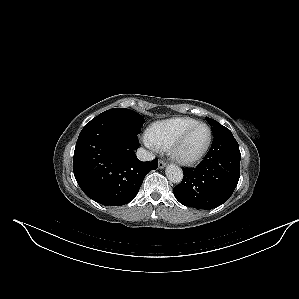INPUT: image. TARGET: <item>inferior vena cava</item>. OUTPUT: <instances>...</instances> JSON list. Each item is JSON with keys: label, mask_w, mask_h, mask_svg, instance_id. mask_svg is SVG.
Here are the masks:
<instances>
[{"label": "inferior vena cava", "mask_w": 299, "mask_h": 299, "mask_svg": "<svg viewBox=\"0 0 299 299\" xmlns=\"http://www.w3.org/2000/svg\"><path fill=\"white\" fill-rule=\"evenodd\" d=\"M137 158L141 161H150L154 159L153 153L145 150L144 148H139L136 152Z\"/></svg>", "instance_id": "1"}]
</instances>
